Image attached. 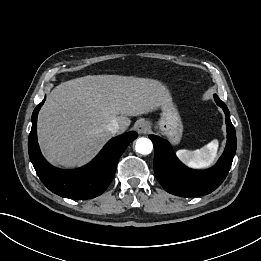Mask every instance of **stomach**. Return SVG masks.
Masks as SVG:
<instances>
[{
	"label": "stomach",
	"instance_id": "0dacf381",
	"mask_svg": "<svg viewBox=\"0 0 261 261\" xmlns=\"http://www.w3.org/2000/svg\"><path fill=\"white\" fill-rule=\"evenodd\" d=\"M158 128L174 145L181 141L183 125L176 106L170 101L162 106L161 118L157 123Z\"/></svg>",
	"mask_w": 261,
	"mask_h": 261
}]
</instances>
